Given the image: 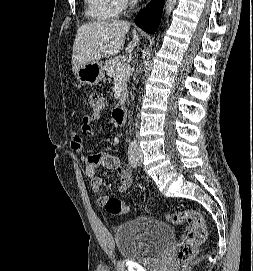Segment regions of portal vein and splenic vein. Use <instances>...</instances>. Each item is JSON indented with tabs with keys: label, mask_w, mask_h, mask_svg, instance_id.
Segmentation results:
<instances>
[{
	"label": "portal vein and splenic vein",
	"mask_w": 253,
	"mask_h": 271,
	"mask_svg": "<svg viewBox=\"0 0 253 271\" xmlns=\"http://www.w3.org/2000/svg\"><path fill=\"white\" fill-rule=\"evenodd\" d=\"M131 71V67L128 63L123 64L118 68L117 78H123L128 75Z\"/></svg>",
	"instance_id": "obj_1"
}]
</instances>
